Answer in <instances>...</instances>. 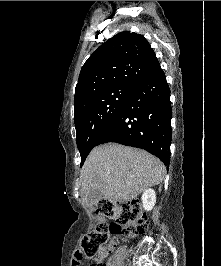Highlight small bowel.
I'll use <instances>...</instances> for the list:
<instances>
[{
  "mask_svg": "<svg viewBox=\"0 0 221 266\" xmlns=\"http://www.w3.org/2000/svg\"><path fill=\"white\" fill-rule=\"evenodd\" d=\"M77 250L78 251L72 253V256H73L72 266H82V261H83L82 257L85 256V253L84 252H79V251H83L84 247L83 246H78ZM107 252H108V250H105L102 256L105 257L107 255Z\"/></svg>",
  "mask_w": 221,
  "mask_h": 266,
  "instance_id": "obj_1",
  "label": "small bowel"
}]
</instances>
